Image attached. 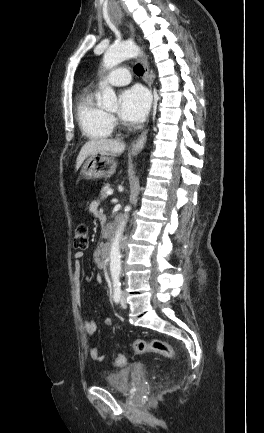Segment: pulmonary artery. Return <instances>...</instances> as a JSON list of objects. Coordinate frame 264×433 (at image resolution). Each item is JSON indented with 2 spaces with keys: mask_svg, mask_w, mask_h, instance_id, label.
<instances>
[{
  "mask_svg": "<svg viewBox=\"0 0 264 433\" xmlns=\"http://www.w3.org/2000/svg\"><path fill=\"white\" fill-rule=\"evenodd\" d=\"M131 77L126 68L116 69L108 78V82L113 86H124L130 83Z\"/></svg>",
  "mask_w": 264,
  "mask_h": 433,
  "instance_id": "e3ab8cb5",
  "label": "pulmonary artery"
}]
</instances>
